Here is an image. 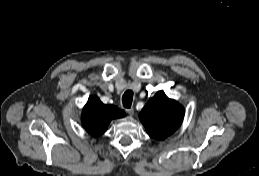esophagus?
Wrapping results in <instances>:
<instances>
[{
  "instance_id": "34e87169",
  "label": "esophagus",
  "mask_w": 259,
  "mask_h": 176,
  "mask_svg": "<svg viewBox=\"0 0 259 176\" xmlns=\"http://www.w3.org/2000/svg\"><path fill=\"white\" fill-rule=\"evenodd\" d=\"M128 115L132 116L134 114V109L133 108H129L126 110Z\"/></svg>"
}]
</instances>
